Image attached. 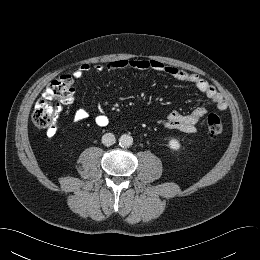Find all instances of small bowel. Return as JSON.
I'll list each match as a JSON object with an SVG mask.
<instances>
[{"instance_id":"small-bowel-1","label":"small bowel","mask_w":260,"mask_h":260,"mask_svg":"<svg viewBox=\"0 0 260 260\" xmlns=\"http://www.w3.org/2000/svg\"><path fill=\"white\" fill-rule=\"evenodd\" d=\"M90 69L87 63L81 64L73 71V76L76 79L81 78ZM122 69H136L140 71H155L158 73L167 74L179 81L193 85L199 92L205 96L219 109L225 110L227 102L224 97L211 85L208 81L201 78L197 74L187 72L175 66L165 65L158 60L147 58H131V59H118L112 60L103 65H97L96 70H106L109 72ZM206 108L201 106L197 107L187 114H182L177 111L169 113L164 119L160 120V124L168 129H176L185 133H195L196 125L205 115ZM88 117V112L85 108L76 110L73 120L76 123L84 121ZM95 122L100 127H105L109 123V118L105 113H100L95 117ZM53 134V133H51Z\"/></svg>"}]
</instances>
